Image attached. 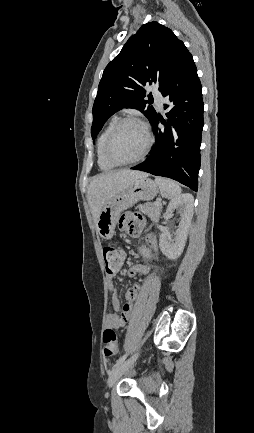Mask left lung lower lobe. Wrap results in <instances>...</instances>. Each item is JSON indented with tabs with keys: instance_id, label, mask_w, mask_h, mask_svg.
I'll list each match as a JSON object with an SVG mask.
<instances>
[{
	"instance_id": "obj_1",
	"label": "left lung lower lobe",
	"mask_w": 254,
	"mask_h": 433,
	"mask_svg": "<svg viewBox=\"0 0 254 433\" xmlns=\"http://www.w3.org/2000/svg\"><path fill=\"white\" fill-rule=\"evenodd\" d=\"M170 102L167 119L157 114L150 122L155 145L148 158L131 168L174 179L198 189L201 133L204 125L202 86L193 57L186 52L161 91ZM161 122L164 128H159Z\"/></svg>"
}]
</instances>
